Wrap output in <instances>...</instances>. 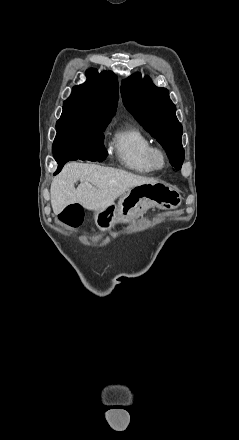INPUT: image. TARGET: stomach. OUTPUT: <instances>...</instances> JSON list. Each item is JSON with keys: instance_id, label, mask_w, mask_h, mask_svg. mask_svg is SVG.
Returning a JSON list of instances; mask_svg holds the SVG:
<instances>
[{"instance_id": "1", "label": "stomach", "mask_w": 239, "mask_h": 440, "mask_svg": "<svg viewBox=\"0 0 239 440\" xmlns=\"http://www.w3.org/2000/svg\"><path fill=\"white\" fill-rule=\"evenodd\" d=\"M159 206L163 210H174L181 204V196L177 190L166 184H143L136 186L124 196L118 204H108L102 210L95 212L94 220L98 230L108 232L115 224H130L134 218L146 214L150 206Z\"/></svg>"}]
</instances>
